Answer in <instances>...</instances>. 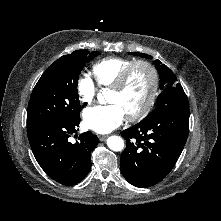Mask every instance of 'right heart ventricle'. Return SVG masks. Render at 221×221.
Instances as JSON below:
<instances>
[{
    "label": "right heart ventricle",
    "mask_w": 221,
    "mask_h": 221,
    "mask_svg": "<svg viewBox=\"0 0 221 221\" xmlns=\"http://www.w3.org/2000/svg\"><path fill=\"white\" fill-rule=\"evenodd\" d=\"M134 60L123 57H107L93 64L92 74L100 87L111 88L120 73Z\"/></svg>",
    "instance_id": "e07e8e85"
}]
</instances>
